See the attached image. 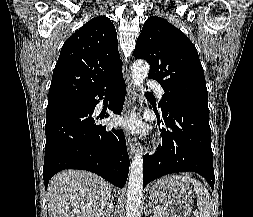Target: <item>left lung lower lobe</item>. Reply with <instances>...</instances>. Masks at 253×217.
Instances as JSON below:
<instances>
[{"mask_svg":"<svg viewBox=\"0 0 253 217\" xmlns=\"http://www.w3.org/2000/svg\"><path fill=\"white\" fill-rule=\"evenodd\" d=\"M153 109L162 124V145L153 155H145L143 188L151 181L174 172H196L212 190L215 176L210 144L209 110L183 104H169L161 112Z\"/></svg>","mask_w":253,"mask_h":217,"instance_id":"0a47b994","label":"left lung lower lobe"}]
</instances>
